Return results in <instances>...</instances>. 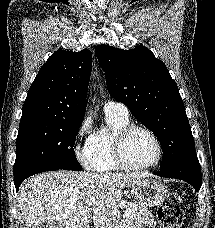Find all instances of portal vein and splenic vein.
Segmentation results:
<instances>
[{
  "label": "portal vein and splenic vein",
  "mask_w": 215,
  "mask_h": 228,
  "mask_svg": "<svg viewBox=\"0 0 215 228\" xmlns=\"http://www.w3.org/2000/svg\"><path fill=\"white\" fill-rule=\"evenodd\" d=\"M96 204V200L95 198H90L89 202H87V206H89V208H93V206H95ZM135 206H130V208H127L125 214H124V218H127V216H129L130 212H132V210H134Z\"/></svg>",
  "instance_id": "portal-vein-and-splenic-vein-1"
}]
</instances>
